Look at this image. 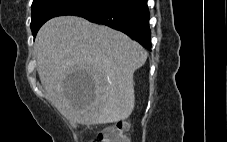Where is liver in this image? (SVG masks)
I'll use <instances>...</instances> for the list:
<instances>
[{
	"label": "liver",
	"mask_w": 227,
	"mask_h": 142,
	"mask_svg": "<svg viewBox=\"0 0 227 142\" xmlns=\"http://www.w3.org/2000/svg\"><path fill=\"white\" fill-rule=\"evenodd\" d=\"M34 51L41 83L64 115L93 125L126 120L133 112V74L146 62L147 52L127 35L77 16H61L40 28ZM77 71L92 73V78L65 81Z\"/></svg>",
	"instance_id": "obj_1"
}]
</instances>
